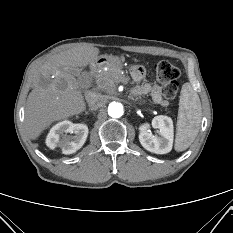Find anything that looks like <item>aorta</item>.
<instances>
[{
  "label": "aorta",
  "instance_id": "aorta-1",
  "mask_svg": "<svg viewBox=\"0 0 233 233\" xmlns=\"http://www.w3.org/2000/svg\"><path fill=\"white\" fill-rule=\"evenodd\" d=\"M108 115L112 118H119L123 115V105L120 102H110L108 104Z\"/></svg>",
  "mask_w": 233,
  "mask_h": 233
}]
</instances>
